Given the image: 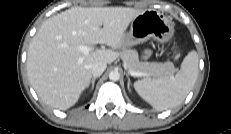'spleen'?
Returning a JSON list of instances; mask_svg holds the SVG:
<instances>
[{"label": "spleen", "mask_w": 231, "mask_h": 134, "mask_svg": "<svg viewBox=\"0 0 231 134\" xmlns=\"http://www.w3.org/2000/svg\"><path fill=\"white\" fill-rule=\"evenodd\" d=\"M199 58L192 50L184 58L175 76L160 79L144 78L134 83L137 93L158 111L180 105L192 90L198 77Z\"/></svg>", "instance_id": "spleen-1"}]
</instances>
